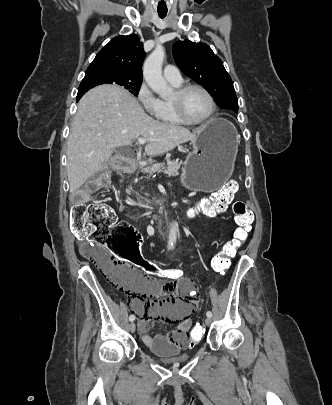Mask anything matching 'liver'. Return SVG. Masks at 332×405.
Segmentation results:
<instances>
[{
  "label": "liver",
  "instance_id": "6515ba94",
  "mask_svg": "<svg viewBox=\"0 0 332 405\" xmlns=\"http://www.w3.org/2000/svg\"><path fill=\"white\" fill-rule=\"evenodd\" d=\"M193 132L149 117L126 90L102 85L88 91L79 101L67 142V176L70 193L110 163L113 151L145 138L148 156L162 155L193 140Z\"/></svg>",
  "mask_w": 332,
  "mask_h": 405
}]
</instances>
